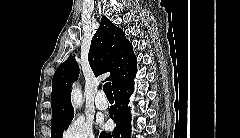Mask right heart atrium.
<instances>
[{
  "label": "right heart atrium",
  "mask_w": 240,
  "mask_h": 138,
  "mask_svg": "<svg viewBox=\"0 0 240 138\" xmlns=\"http://www.w3.org/2000/svg\"><path fill=\"white\" fill-rule=\"evenodd\" d=\"M63 138H94L92 123L82 117L73 118L65 127Z\"/></svg>",
  "instance_id": "obj_1"
}]
</instances>
